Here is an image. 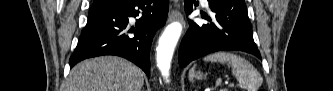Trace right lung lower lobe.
<instances>
[{
	"mask_svg": "<svg viewBox=\"0 0 333 91\" xmlns=\"http://www.w3.org/2000/svg\"><path fill=\"white\" fill-rule=\"evenodd\" d=\"M168 8L169 0H128L116 7L92 9L70 68L87 58L116 55L132 61L149 77L150 46L156 30L165 24ZM136 16L141 17L130 28L128 17Z\"/></svg>",
	"mask_w": 333,
	"mask_h": 91,
	"instance_id": "obj_1",
	"label": "right lung lower lobe"
}]
</instances>
